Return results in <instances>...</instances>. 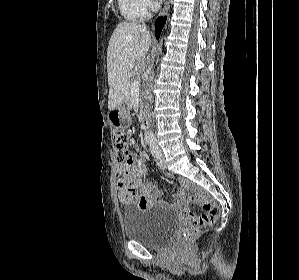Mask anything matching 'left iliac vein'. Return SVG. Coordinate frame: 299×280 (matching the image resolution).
<instances>
[{
	"label": "left iliac vein",
	"instance_id": "1",
	"mask_svg": "<svg viewBox=\"0 0 299 280\" xmlns=\"http://www.w3.org/2000/svg\"><path fill=\"white\" fill-rule=\"evenodd\" d=\"M157 165L161 169H166L167 168V165H166V162H165V158H164V156H163L162 153H161L160 158L157 160Z\"/></svg>",
	"mask_w": 299,
	"mask_h": 280
}]
</instances>
